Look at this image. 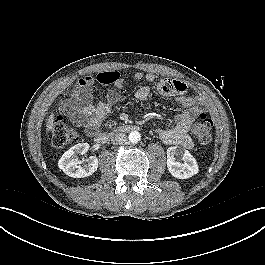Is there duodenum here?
I'll return each mask as SVG.
<instances>
[{
  "mask_svg": "<svg viewBox=\"0 0 265 265\" xmlns=\"http://www.w3.org/2000/svg\"><path fill=\"white\" fill-rule=\"evenodd\" d=\"M139 126L136 124H123L116 130V133H123V132H133L139 130ZM94 141L99 145L106 144L110 136L108 133L105 132H98L93 135Z\"/></svg>",
  "mask_w": 265,
  "mask_h": 265,
  "instance_id": "duodenum-1",
  "label": "duodenum"
}]
</instances>
